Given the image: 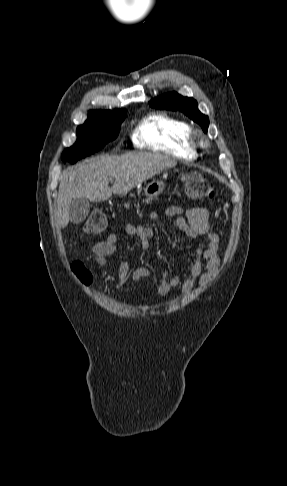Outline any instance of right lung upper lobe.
I'll return each mask as SVG.
<instances>
[{"label": "right lung upper lobe", "instance_id": "right-lung-upper-lobe-1", "mask_svg": "<svg viewBox=\"0 0 287 486\" xmlns=\"http://www.w3.org/2000/svg\"><path fill=\"white\" fill-rule=\"evenodd\" d=\"M90 112H93V111H90ZM99 112H105V113H109V114H124V113H126V110H124V109H121V110L120 109H117L115 111H111V110H108V111H100L99 110Z\"/></svg>", "mask_w": 287, "mask_h": 486}]
</instances>
